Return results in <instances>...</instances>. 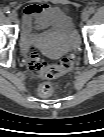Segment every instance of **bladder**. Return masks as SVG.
Masks as SVG:
<instances>
[{
  "label": "bladder",
  "mask_w": 104,
  "mask_h": 137,
  "mask_svg": "<svg viewBox=\"0 0 104 137\" xmlns=\"http://www.w3.org/2000/svg\"><path fill=\"white\" fill-rule=\"evenodd\" d=\"M36 45L43 55L56 59L76 49L79 40L69 34L68 28L53 27L52 31L43 33L37 38Z\"/></svg>",
  "instance_id": "bladder-1"
}]
</instances>
